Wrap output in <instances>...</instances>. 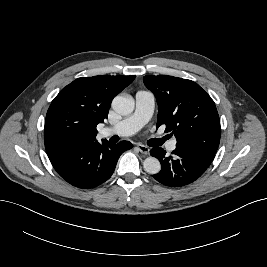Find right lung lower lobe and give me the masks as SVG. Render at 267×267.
I'll return each mask as SVG.
<instances>
[{
	"label": "right lung lower lobe",
	"instance_id": "98d812e1",
	"mask_svg": "<svg viewBox=\"0 0 267 267\" xmlns=\"http://www.w3.org/2000/svg\"><path fill=\"white\" fill-rule=\"evenodd\" d=\"M45 145L48 157L57 173L69 184L94 188L108 180L114 172L120 155L132 148V143L118 144L102 140Z\"/></svg>",
	"mask_w": 267,
	"mask_h": 267
}]
</instances>
